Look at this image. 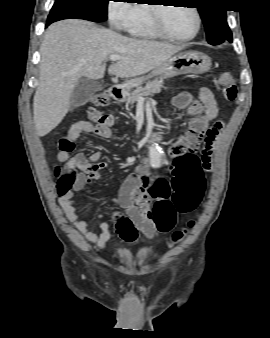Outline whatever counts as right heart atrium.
<instances>
[{
    "label": "right heart atrium",
    "instance_id": "d8ad5b80",
    "mask_svg": "<svg viewBox=\"0 0 270 338\" xmlns=\"http://www.w3.org/2000/svg\"><path fill=\"white\" fill-rule=\"evenodd\" d=\"M133 6L127 2H115L108 8V15L111 24L124 29L133 19Z\"/></svg>",
    "mask_w": 270,
    "mask_h": 338
}]
</instances>
